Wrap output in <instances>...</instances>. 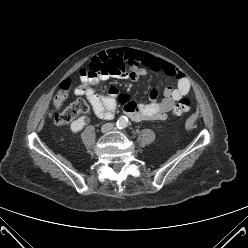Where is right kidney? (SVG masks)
<instances>
[{
  "mask_svg": "<svg viewBox=\"0 0 248 248\" xmlns=\"http://www.w3.org/2000/svg\"><path fill=\"white\" fill-rule=\"evenodd\" d=\"M85 125H86V117L82 116L71 123L70 129L73 133H77L81 131Z\"/></svg>",
  "mask_w": 248,
  "mask_h": 248,
  "instance_id": "right-kidney-1",
  "label": "right kidney"
}]
</instances>
